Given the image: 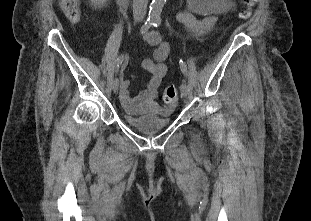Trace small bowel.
Segmentation results:
<instances>
[{"label": "small bowel", "instance_id": "small-bowel-1", "mask_svg": "<svg viewBox=\"0 0 311 221\" xmlns=\"http://www.w3.org/2000/svg\"><path fill=\"white\" fill-rule=\"evenodd\" d=\"M177 20L183 24L192 37H199L208 33L217 22L216 16H206L198 18L191 12L185 11L177 15ZM145 41L154 46L153 58L145 59L142 63L143 69L149 73L150 79L145 88L135 97L129 93L130 80L124 79L120 84L121 99L126 104L137 101H153L159 94V87L162 79L168 71L165 60L170 54V45L162 39L157 32H147L144 36Z\"/></svg>", "mask_w": 311, "mask_h": 221}]
</instances>
